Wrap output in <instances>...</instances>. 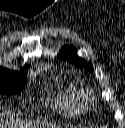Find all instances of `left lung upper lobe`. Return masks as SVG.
<instances>
[{
	"label": "left lung upper lobe",
	"mask_w": 125,
	"mask_h": 128,
	"mask_svg": "<svg viewBox=\"0 0 125 128\" xmlns=\"http://www.w3.org/2000/svg\"><path fill=\"white\" fill-rule=\"evenodd\" d=\"M59 57L64 61H69L76 66L84 67L88 71H92V65L87 64L85 60L77 56V50L73 46H64L60 51Z\"/></svg>",
	"instance_id": "left-lung-upper-lobe-1"
}]
</instances>
